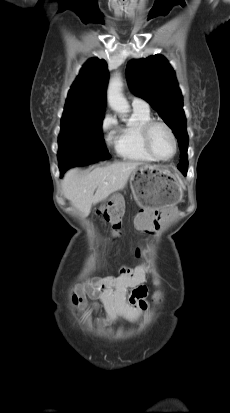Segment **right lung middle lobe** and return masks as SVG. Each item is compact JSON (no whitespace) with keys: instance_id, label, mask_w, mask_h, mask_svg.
Masks as SVG:
<instances>
[{"instance_id":"right-lung-middle-lobe-1","label":"right lung middle lobe","mask_w":230,"mask_h":413,"mask_svg":"<svg viewBox=\"0 0 230 413\" xmlns=\"http://www.w3.org/2000/svg\"><path fill=\"white\" fill-rule=\"evenodd\" d=\"M103 118L61 122L58 138L60 169L66 171L70 167L110 158L102 135Z\"/></svg>"}]
</instances>
